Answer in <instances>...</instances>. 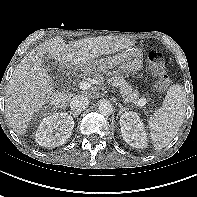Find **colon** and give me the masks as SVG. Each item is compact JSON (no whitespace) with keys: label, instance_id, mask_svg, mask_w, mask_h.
<instances>
[{"label":"colon","instance_id":"5ec220e1","mask_svg":"<svg viewBox=\"0 0 197 197\" xmlns=\"http://www.w3.org/2000/svg\"><path fill=\"white\" fill-rule=\"evenodd\" d=\"M148 60L155 73L159 76L157 83L158 91H166L170 86V80L166 73L167 69L164 55L158 50H151L148 54Z\"/></svg>","mask_w":197,"mask_h":197}]
</instances>
